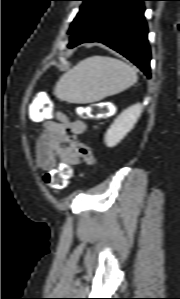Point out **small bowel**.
I'll return each instance as SVG.
<instances>
[{
	"instance_id": "small-bowel-1",
	"label": "small bowel",
	"mask_w": 180,
	"mask_h": 299,
	"mask_svg": "<svg viewBox=\"0 0 180 299\" xmlns=\"http://www.w3.org/2000/svg\"><path fill=\"white\" fill-rule=\"evenodd\" d=\"M42 120L43 130L35 144V165L38 170L51 171L58 164L92 165L96 158L88 141L79 137L86 132V124L59 111L53 118Z\"/></svg>"
}]
</instances>
